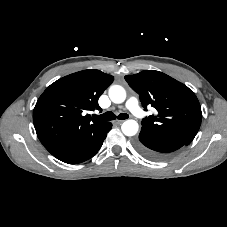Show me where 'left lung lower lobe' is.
Here are the masks:
<instances>
[{"mask_svg":"<svg viewBox=\"0 0 227 227\" xmlns=\"http://www.w3.org/2000/svg\"><path fill=\"white\" fill-rule=\"evenodd\" d=\"M134 145L143 156L152 160H162L186 144L179 140L141 129L139 138L136 139Z\"/></svg>","mask_w":227,"mask_h":227,"instance_id":"left-lung-lower-lobe-1","label":"left lung lower lobe"}]
</instances>
